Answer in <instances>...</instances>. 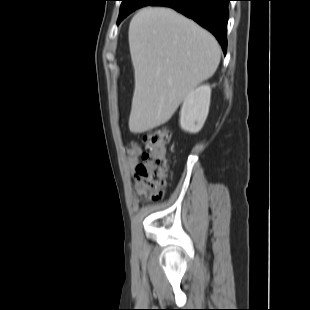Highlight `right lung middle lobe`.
<instances>
[{"mask_svg":"<svg viewBox=\"0 0 310 310\" xmlns=\"http://www.w3.org/2000/svg\"><path fill=\"white\" fill-rule=\"evenodd\" d=\"M153 1L155 0H122L118 23L137 8L149 5Z\"/></svg>","mask_w":310,"mask_h":310,"instance_id":"1","label":"right lung middle lobe"}]
</instances>
